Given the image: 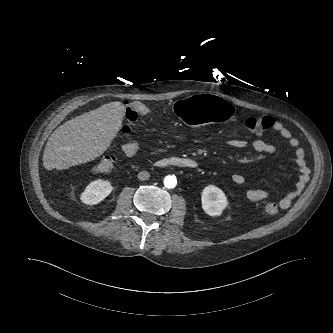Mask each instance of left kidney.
I'll return each mask as SVG.
<instances>
[{
	"mask_svg": "<svg viewBox=\"0 0 333 333\" xmlns=\"http://www.w3.org/2000/svg\"><path fill=\"white\" fill-rule=\"evenodd\" d=\"M201 201L204 212L213 217L220 216L228 204L224 192L214 185L203 189Z\"/></svg>",
	"mask_w": 333,
	"mask_h": 333,
	"instance_id": "5707ae66",
	"label": "left kidney"
}]
</instances>
